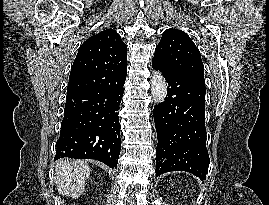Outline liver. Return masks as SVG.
I'll return each instance as SVG.
<instances>
[{
    "mask_svg": "<svg viewBox=\"0 0 269 205\" xmlns=\"http://www.w3.org/2000/svg\"><path fill=\"white\" fill-rule=\"evenodd\" d=\"M55 174L59 194L78 199L85 190L90 166L82 160L60 159L55 164Z\"/></svg>",
    "mask_w": 269,
    "mask_h": 205,
    "instance_id": "liver-1",
    "label": "liver"
}]
</instances>
